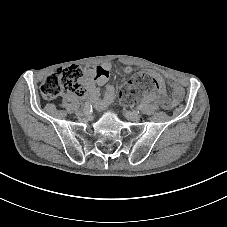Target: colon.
I'll list each match as a JSON object with an SVG mask.
<instances>
[{
    "label": "colon",
    "instance_id": "1",
    "mask_svg": "<svg viewBox=\"0 0 227 227\" xmlns=\"http://www.w3.org/2000/svg\"><path fill=\"white\" fill-rule=\"evenodd\" d=\"M83 73L79 66L71 65L57 69L47 76L41 85V95L45 100L57 98L64 90H70L78 95L84 92ZM160 90L156 79L147 74L140 73L122 85L119 95L123 102L131 103L139 98L145 91Z\"/></svg>",
    "mask_w": 227,
    "mask_h": 227
}]
</instances>
